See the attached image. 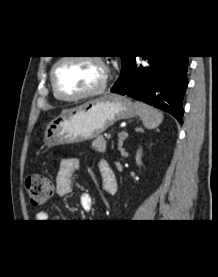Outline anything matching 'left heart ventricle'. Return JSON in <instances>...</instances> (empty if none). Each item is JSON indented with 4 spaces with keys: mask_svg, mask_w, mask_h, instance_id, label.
<instances>
[{
    "mask_svg": "<svg viewBox=\"0 0 218 277\" xmlns=\"http://www.w3.org/2000/svg\"><path fill=\"white\" fill-rule=\"evenodd\" d=\"M102 70L94 62L70 59L56 69V82L59 90L66 96H76L99 85Z\"/></svg>",
    "mask_w": 218,
    "mask_h": 277,
    "instance_id": "1",
    "label": "left heart ventricle"
}]
</instances>
